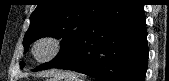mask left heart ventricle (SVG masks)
<instances>
[{"label": "left heart ventricle", "mask_w": 169, "mask_h": 81, "mask_svg": "<svg viewBox=\"0 0 169 81\" xmlns=\"http://www.w3.org/2000/svg\"><path fill=\"white\" fill-rule=\"evenodd\" d=\"M51 50L52 46L50 44L42 43L37 47L36 54L40 58H45L51 53Z\"/></svg>", "instance_id": "obj_1"}]
</instances>
